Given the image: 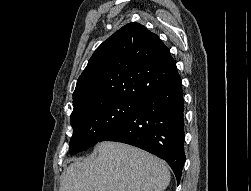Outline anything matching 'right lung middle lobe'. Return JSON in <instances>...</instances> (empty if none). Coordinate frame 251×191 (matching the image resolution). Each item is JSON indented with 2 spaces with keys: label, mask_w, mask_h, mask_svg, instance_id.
I'll return each mask as SVG.
<instances>
[{
  "label": "right lung middle lobe",
  "mask_w": 251,
  "mask_h": 191,
  "mask_svg": "<svg viewBox=\"0 0 251 191\" xmlns=\"http://www.w3.org/2000/svg\"><path fill=\"white\" fill-rule=\"evenodd\" d=\"M138 106V102L116 100L73 110L70 119L73 127L70 154L86 150L99 142Z\"/></svg>",
  "instance_id": "obj_1"
}]
</instances>
